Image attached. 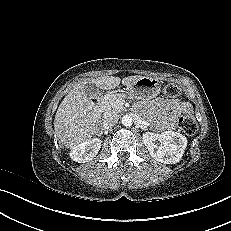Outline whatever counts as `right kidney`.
<instances>
[{
	"instance_id": "right-kidney-1",
	"label": "right kidney",
	"mask_w": 231,
	"mask_h": 231,
	"mask_svg": "<svg viewBox=\"0 0 231 231\" xmlns=\"http://www.w3.org/2000/svg\"><path fill=\"white\" fill-rule=\"evenodd\" d=\"M101 148V140L98 138L87 139L73 147L69 153L70 158L78 163L91 161Z\"/></svg>"
}]
</instances>
